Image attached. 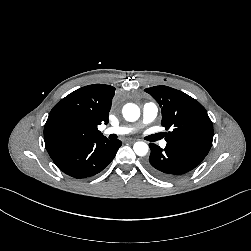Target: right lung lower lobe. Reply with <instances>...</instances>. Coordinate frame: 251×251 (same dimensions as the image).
<instances>
[{"mask_svg":"<svg viewBox=\"0 0 251 251\" xmlns=\"http://www.w3.org/2000/svg\"><path fill=\"white\" fill-rule=\"evenodd\" d=\"M121 141L102 137L71 145L52 158L56 166L74 178L91 177L101 172L115 157Z\"/></svg>","mask_w":251,"mask_h":251,"instance_id":"1","label":"right lung lower lobe"}]
</instances>
